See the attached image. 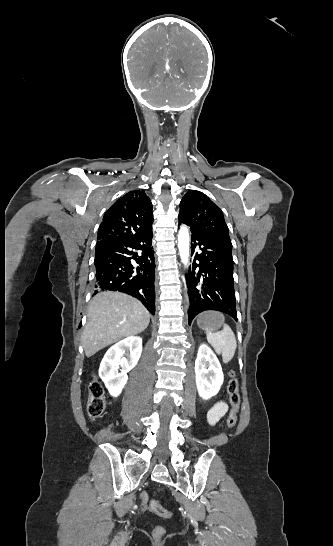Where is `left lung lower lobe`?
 Returning <instances> with one entry per match:
<instances>
[{
	"instance_id": "left-lung-lower-lobe-1",
	"label": "left lung lower lobe",
	"mask_w": 333,
	"mask_h": 546,
	"mask_svg": "<svg viewBox=\"0 0 333 546\" xmlns=\"http://www.w3.org/2000/svg\"><path fill=\"white\" fill-rule=\"evenodd\" d=\"M184 224L179 221V225ZM192 264L186 274L189 296L188 323L207 310L237 320L232 244L227 238L190 228Z\"/></svg>"
}]
</instances>
